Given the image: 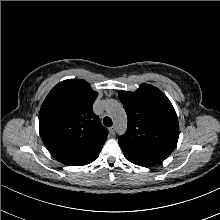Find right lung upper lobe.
<instances>
[{
  "label": "right lung upper lobe",
  "mask_w": 220,
  "mask_h": 220,
  "mask_svg": "<svg viewBox=\"0 0 220 220\" xmlns=\"http://www.w3.org/2000/svg\"><path fill=\"white\" fill-rule=\"evenodd\" d=\"M98 94L81 79L58 83L47 95L39 114L44 145L59 162L83 166L97 159L108 131L92 107Z\"/></svg>",
  "instance_id": "obj_1"
}]
</instances>
